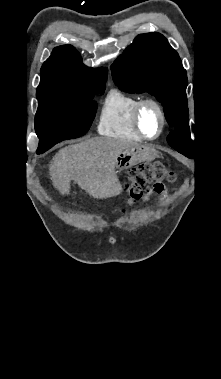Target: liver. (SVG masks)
Segmentation results:
<instances>
[{
    "label": "liver",
    "mask_w": 221,
    "mask_h": 379,
    "mask_svg": "<svg viewBox=\"0 0 221 379\" xmlns=\"http://www.w3.org/2000/svg\"><path fill=\"white\" fill-rule=\"evenodd\" d=\"M136 143L95 137L60 149L49 165L54 187L62 195L70 192V181L97 199L117 196L121 185L115 173L118 156Z\"/></svg>",
    "instance_id": "1"
}]
</instances>
